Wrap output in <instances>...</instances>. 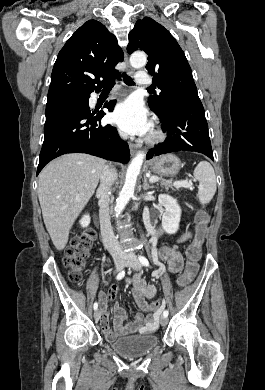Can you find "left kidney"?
<instances>
[{"label":"left kidney","mask_w":265,"mask_h":390,"mask_svg":"<svg viewBox=\"0 0 265 390\" xmlns=\"http://www.w3.org/2000/svg\"><path fill=\"white\" fill-rule=\"evenodd\" d=\"M158 201L165 208L162 215L163 230L169 235L175 234L179 229L181 218V208L177 200L167 194H160Z\"/></svg>","instance_id":"left-kidney-1"}]
</instances>
